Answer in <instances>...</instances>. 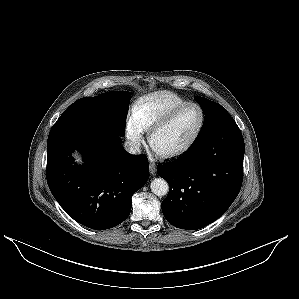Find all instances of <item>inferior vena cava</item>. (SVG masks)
Instances as JSON below:
<instances>
[{
  "instance_id": "1",
  "label": "inferior vena cava",
  "mask_w": 299,
  "mask_h": 299,
  "mask_svg": "<svg viewBox=\"0 0 299 299\" xmlns=\"http://www.w3.org/2000/svg\"><path fill=\"white\" fill-rule=\"evenodd\" d=\"M124 148L128 153H130L132 155H137V154L141 153L140 143H138V142L126 141L124 143Z\"/></svg>"
}]
</instances>
